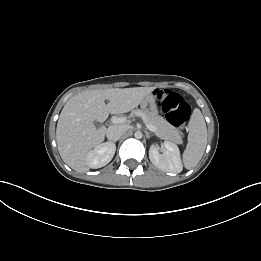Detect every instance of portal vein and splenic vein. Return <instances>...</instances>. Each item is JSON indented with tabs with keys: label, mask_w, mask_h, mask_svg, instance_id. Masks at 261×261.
<instances>
[{
	"label": "portal vein and splenic vein",
	"mask_w": 261,
	"mask_h": 261,
	"mask_svg": "<svg viewBox=\"0 0 261 261\" xmlns=\"http://www.w3.org/2000/svg\"><path fill=\"white\" fill-rule=\"evenodd\" d=\"M112 122L114 124H121V123H124L126 122V118L125 117H115L112 119ZM146 127L152 131V132H155L156 131V127L152 124H149V123H145Z\"/></svg>",
	"instance_id": "portal-vein-and-splenic-vein-1"
}]
</instances>
